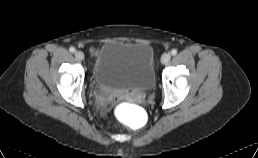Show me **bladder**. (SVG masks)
<instances>
[{"label":"bladder","mask_w":258,"mask_h":158,"mask_svg":"<svg viewBox=\"0 0 258 158\" xmlns=\"http://www.w3.org/2000/svg\"><path fill=\"white\" fill-rule=\"evenodd\" d=\"M93 79L105 89L152 91L156 82L152 46L119 41L102 44L95 60Z\"/></svg>","instance_id":"bladder-1"}]
</instances>
